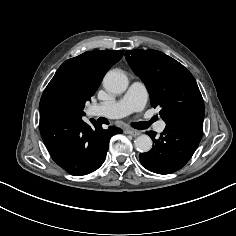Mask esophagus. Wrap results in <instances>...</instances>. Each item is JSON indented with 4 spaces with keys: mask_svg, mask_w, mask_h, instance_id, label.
<instances>
[{
    "mask_svg": "<svg viewBox=\"0 0 236 236\" xmlns=\"http://www.w3.org/2000/svg\"><path fill=\"white\" fill-rule=\"evenodd\" d=\"M126 133H127V134H130L131 136H134V137L141 134L140 131H138V130H133V129H128V130H126Z\"/></svg>",
    "mask_w": 236,
    "mask_h": 236,
    "instance_id": "obj_1",
    "label": "esophagus"
}]
</instances>
